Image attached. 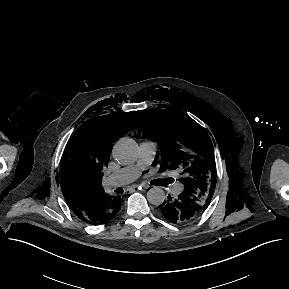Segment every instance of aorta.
I'll return each instance as SVG.
<instances>
[{
  "label": "aorta",
  "instance_id": "762f6f07",
  "mask_svg": "<svg viewBox=\"0 0 289 289\" xmlns=\"http://www.w3.org/2000/svg\"><path fill=\"white\" fill-rule=\"evenodd\" d=\"M138 151V144L133 139L121 138L114 144L112 154L117 162L128 164L136 160ZM147 199L152 205L159 206L165 200V192L161 187L155 186L148 191Z\"/></svg>",
  "mask_w": 289,
  "mask_h": 289
}]
</instances>
